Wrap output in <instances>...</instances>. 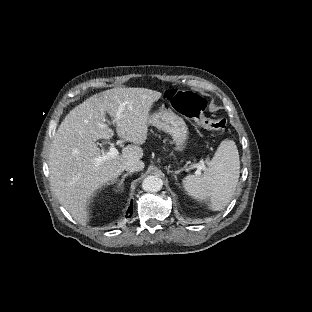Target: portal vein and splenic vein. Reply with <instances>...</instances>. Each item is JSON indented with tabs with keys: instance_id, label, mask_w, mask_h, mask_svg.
Listing matches in <instances>:
<instances>
[{
	"instance_id": "obj_1",
	"label": "portal vein and splenic vein",
	"mask_w": 312,
	"mask_h": 312,
	"mask_svg": "<svg viewBox=\"0 0 312 312\" xmlns=\"http://www.w3.org/2000/svg\"><path fill=\"white\" fill-rule=\"evenodd\" d=\"M120 113L121 111L119 110L115 115V119H117L120 116ZM115 119H111L110 121H108L107 122L108 125L113 126L115 124ZM116 154H118V150L115 147L110 146L108 152L95 158L94 170H98L102 162L107 161L109 158H111L112 156H115ZM203 167H204L203 163L196 164L194 166V168H197L196 174H199Z\"/></svg>"
}]
</instances>
